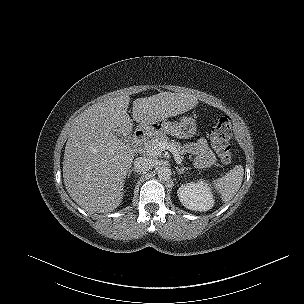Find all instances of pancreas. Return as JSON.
<instances>
[{"instance_id": "obj_1", "label": "pancreas", "mask_w": 304, "mask_h": 304, "mask_svg": "<svg viewBox=\"0 0 304 304\" xmlns=\"http://www.w3.org/2000/svg\"><path fill=\"white\" fill-rule=\"evenodd\" d=\"M158 142H165L167 143L171 148H173V151H176L179 156L180 160L183 159L182 155L184 154L183 147L181 146L180 143L170 140L166 135H156L154 136L151 140L147 142L146 148L149 149L150 147L154 146Z\"/></svg>"}]
</instances>
